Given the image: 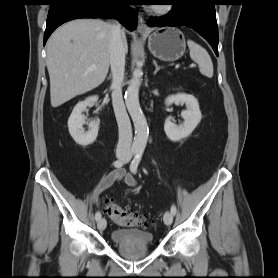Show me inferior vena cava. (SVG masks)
Listing matches in <instances>:
<instances>
[{"mask_svg":"<svg viewBox=\"0 0 278 278\" xmlns=\"http://www.w3.org/2000/svg\"><path fill=\"white\" fill-rule=\"evenodd\" d=\"M110 65L112 72V104L119 129L117 152L130 154L132 128L122 97V84L125 71V49L119 23L111 25Z\"/></svg>","mask_w":278,"mask_h":278,"instance_id":"602c4592","label":"inferior vena cava"}]
</instances>
